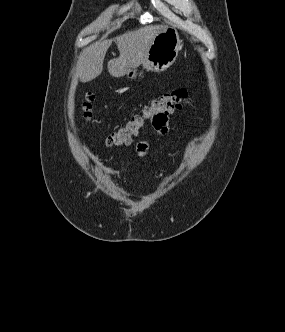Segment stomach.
Listing matches in <instances>:
<instances>
[{
    "instance_id": "0dacf381",
    "label": "stomach",
    "mask_w": 285,
    "mask_h": 332,
    "mask_svg": "<svg viewBox=\"0 0 285 332\" xmlns=\"http://www.w3.org/2000/svg\"><path fill=\"white\" fill-rule=\"evenodd\" d=\"M181 49V40L177 30L173 27L164 28L153 40L143 67L154 72L168 69L176 60ZM136 69L127 73L129 79L135 78Z\"/></svg>"
}]
</instances>
